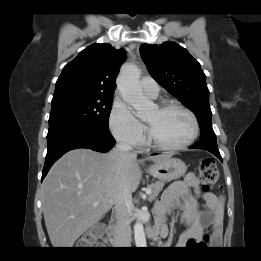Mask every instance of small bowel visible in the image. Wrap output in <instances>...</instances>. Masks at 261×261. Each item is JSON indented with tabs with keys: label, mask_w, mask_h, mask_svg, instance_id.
Wrapping results in <instances>:
<instances>
[{
	"label": "small bowel",
	"mask_w": 261,
	"mask_h": 261,
	"mask_svg": "<svg viewBox=\"0 0 261 261\" xmlns=\"http://www.w3.org/2000/svg\"><path fill=\"white\" fill-rule=\"evenodd\" d=\"M198 200L204 202L202 209L197 207ZM174 207L182 210V222L187 227L178 242L179 247H187L191 241L201 239L206 228L211 229V243L220 242L223 198L203 191L194 174H187L182 181L174 182L166 189L156 206V227L166 230L165 215Z\"/></svg>",
	"instance_id": "obj_1"
}]
</instances>
